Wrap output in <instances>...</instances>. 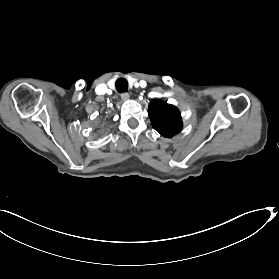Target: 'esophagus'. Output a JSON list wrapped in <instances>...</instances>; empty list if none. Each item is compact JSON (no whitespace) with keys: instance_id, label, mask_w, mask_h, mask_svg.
I'll use <instances>...</instances> for the list:
<instances>
[{"instance_id":"obj_1","label":"esophagus","mask_w":279,"mask_h":279,"mask_svg":"<svg viewBox=\"0 0 279 279\" xmlns=\"http://www.w3.org/2000/svg\"><path fill=\"white\" fill-rule=\"evenodd\" d=\"M121 98H122L123 101H127V100H129V94L128 93H123V94H121Z\"/></svg>"}]
</instances>
